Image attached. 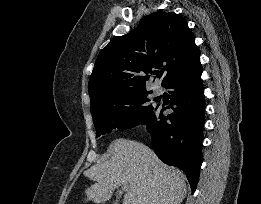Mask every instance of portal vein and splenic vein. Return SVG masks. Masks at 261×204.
I'll return each mask as SVG.
<instances>
[{"instance_id": "portal-vein-and-splenic-vein-1", "label": "portal vein and splenic vein", "mask_w": 261, "mask_h": 204, "mask_svg": "<svg viewBox=\"0 0 261 204\" xmlns=\"http://www.w3.org/2000/svg\"><path fill=\"white\" fill-rule=\"evenodd\" d=\"M127 189H128V186H127V185H125V184L122 185V190H123V191H127Z\"/></svg>"}]
</instances>
